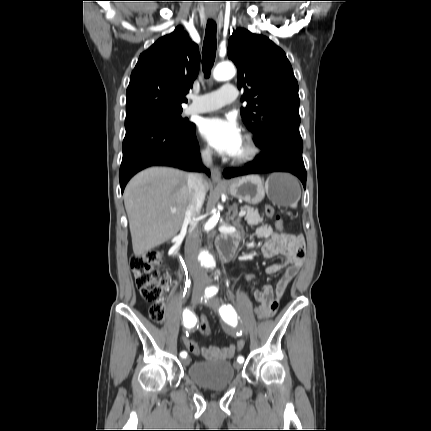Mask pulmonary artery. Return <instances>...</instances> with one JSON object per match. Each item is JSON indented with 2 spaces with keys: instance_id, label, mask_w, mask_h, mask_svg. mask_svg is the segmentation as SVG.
<instances>
[{
  "instance_id": "obj_1",
  "label": "pulmonary artery",
  "mask_w": 431,
  "mask_h": 431,
  "mask_svg": "<svg viewBox=\"0 0 431 431\" xmlns=\"http://www.w3.org/2000/svg\"><path fill=\"white\" fill-rule=\"evenodd\" d=\"M238 90L230 83L222 85L218 90L192 97V104L187 109V114H199L217 110L226 104L236 100Z\"/></svg>"
}]
</instances>
